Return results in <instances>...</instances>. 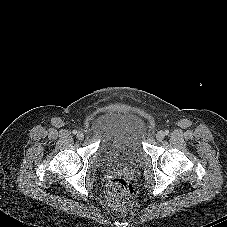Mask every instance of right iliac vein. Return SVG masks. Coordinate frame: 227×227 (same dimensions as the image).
I'll return each instance as SVG.
<instances>
[{"label":"right iliac vein","mask_w":227,"mask_h":227,"mask_svg":"<svg viewBox=\"0 0 227 227\" xmlns=\"http://www.w3.org/2000/svg\"><path fill=\"white\" fill-rule=\"evenodd\" d=\"M77 138H78L79 140H83V139H84V133L81 132V131H79V132L77 133Z\"/></svg>","instance_id":"63e3f726"}]
</instances>
